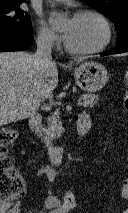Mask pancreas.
Instances as JSON below:
<instances>
[{"label":"pancreas","mask_w":128,"mask_h":213,"mask_svg":"<svg viewBox=\"0 0 128 213\" xmlns=\"http://www.w3.org/2000/svg\"><path fill=\"white\" fill-rule=\"evenodd\" d=\"M98 99H99L98 95L83 94L79 102L80 105L83 107H93ZM59 115H60L59 110H56L53 116L47 118L48 131L54 137H60L61 133H63L64 131Z\"/></svg>","instance_id":"cf45deb5"}]
</instances>
